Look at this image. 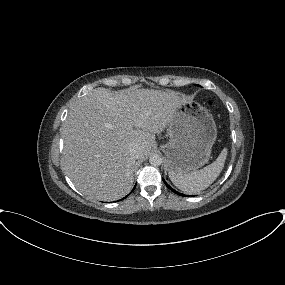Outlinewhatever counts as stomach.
I'll return each instance as SVG.
<instances>
[{
    "label": "stomach",
    "instance_id": "stomach-1",
    "mask_svg": "<svg viewBox=\"0 0 285 285\" xmlns=\"http://www.w3.org/2000/svg\"><path fill=\"white\" fill-rule=\"evenodd\" d=\"M167 131L170 139L162 146L166 170L188 173L209 161L217 129L206 108L196 102L181 104L175 109Z\"/></svg>",
    "mask_w": 285,
    "mask_h": 285
}]
</instances>
